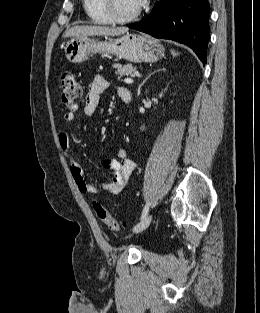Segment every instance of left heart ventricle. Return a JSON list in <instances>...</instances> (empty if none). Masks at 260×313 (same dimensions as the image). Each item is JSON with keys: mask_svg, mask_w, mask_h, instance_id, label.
Returning a JSON list of instances; mask_svg holds the SVG:
<instances>
[{"mask_svg": "<svg viewBox=\"0 0 260 313\" xmlns=\"http://www.w3.org/2000/svg\"><path fill=\"white\" fill-rule=\"evenodd\" d=\"M140 7L138 0H114V8L118 15L127 16Z\"/></svg>", "mask_w": 260, "mask_h": 313, "instance_id": "1", "label": "left heart ventricle"}]
</instances>
